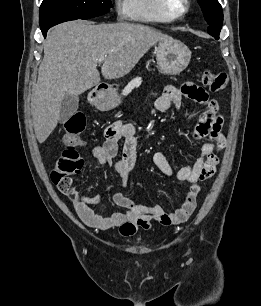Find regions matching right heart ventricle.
<instances>
[{
	"label": "right heart ventricle",
	"mask_w": 261,
	"mask_h": 306,
	"mask_svg": "<svg viewBox=\"0 0 261 306\" xmlns=\"http://www.w3.org/2000/svg\"><path fill=\"white\" fill-rule=\"evenodd\" d=\"M128 16L141 22L166 23L172 19L160 6V0H127Z\"/></svg>",
	"instance_id": "1"
}]
</instances>
